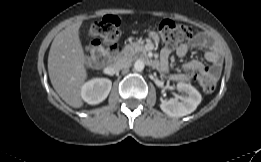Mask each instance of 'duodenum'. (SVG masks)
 <instances>
[{
    "mask_svg": "<svg viewBox=\"0 0 261 162\" xmlns=\"http://www.w3.org/2000/svg\"><path fill=\"white\" fill-rule=\"evenodd\" d=\"M141 57L144 61L153 68H162L163 63H159L157 60L149 58L143 51H140ZM104 62H107V65H104ZM119 62V55L115 46H110L105 51V58L101 64H97L99 66H103L105 70H115L117 69V63Z\"/></svg>",
    "mask_w": 261,
    "mask_h": 162,
    "instance_id": "obj_1",
    "label": "duodenum"
}]
</instances>
